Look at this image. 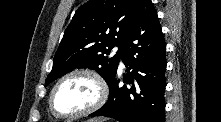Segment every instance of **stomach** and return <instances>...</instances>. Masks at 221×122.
I'll return each mask as SVG.
<instances>
[{
  "instance_id": "stomach-1",
  "label": "stomach",
  "mask_w": 221,
  "mask_h": 122,
  "mask_svg": "<svg viewBox=\"0 0 221 122\" xmlns=\"http://www.w3.org/2000/svg\"><path fill=\"white\" fill-rule=\"evenodd\" d=\"M86 122H107V119L105 118H93V119H89Z\"/></svg>"
}]
</instances>
